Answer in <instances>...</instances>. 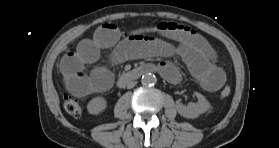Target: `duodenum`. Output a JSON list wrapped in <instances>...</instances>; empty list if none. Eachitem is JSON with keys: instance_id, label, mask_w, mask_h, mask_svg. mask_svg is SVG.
I'll return each instance as SVG.
<instances>
[{"instance_id": "410a0bca", "label": "duodenum", "mask_w": 279, "mask_h": 148, "mask_svg": "<svg viewBox=\"0 0 279 148\" xmlns=\"http://www.w3.org/2000/svg\"><path fill=\"white\" fill-rule=\"evenodd\" d=\"M155 71L156 70H155L154 64L148 63V64L140 65V66L122 74L117 81V86L122 88L129 82L137 80L141 76L151 73V72H155Z\"/></svg>"}]
</instances>
